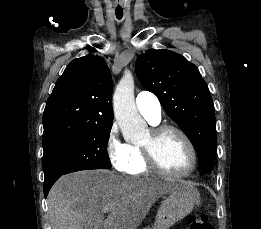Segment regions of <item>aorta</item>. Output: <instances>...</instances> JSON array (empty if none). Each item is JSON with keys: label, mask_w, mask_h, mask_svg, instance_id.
<instances>
[{"label": "aorta", "mask_w": 261, "mask_h": 229, "mask_svg": "<svg viewBox=\"0 0 261 229\" xmlns=\"http://www.w3.org/2000/svg\"><path fill=\"white\" fill-rule=\"evenodd\" d=\"M115 119L122 131L131 141L141 143L149 139L147 125L141 119L134 100V80L130 70H125L123 78L113 94Z\"/></svg>", "instance_id": "aorta-1"}]
</instances>
